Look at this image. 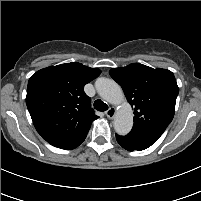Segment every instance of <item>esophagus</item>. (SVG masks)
<instances>
[{
	"label": "esophagus",
	"mask_w": 201,
	"mask_h": 201,
	"mask_svg": "<svg viewBox=\"0 0 201 201\" xmlns=\"http://www.w3.org/2000/svg\"><path fill=\"white\" fill-rule=\"evenodd\" d=\"M116 114V109L114 107H110L107 111H106V116L109 119H113L115 117Z\"/></svg>",
	"instance_id": "34e87169"
}]
</instances>
